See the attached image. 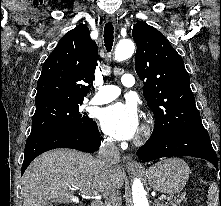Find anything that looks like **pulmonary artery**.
<instances>
[{"label":"pulmonary artery","instance_id":"pulmonary-artery-1","mask_svg":"<svg viewBox=\"0 0 221 206\" xmlns=\"http://www.w3.org/2000/svg\"><path fill=\"white\" fill-rule=\"evenodd\" d=\"M121 83L125 87H133L135 78L132 74H124L121 77ZM120 95V89L113 85H101L98 87V93L93 97V104H105L116 99Z\"/></svg>","mask_w":221,"mask_h":206}]
</instances>
